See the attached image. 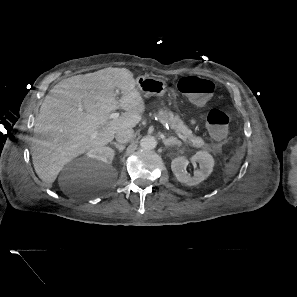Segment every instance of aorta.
<instances>
[{"mask_svg": "<svg viewBox=\"0 0 297 297\" xmlns=\"http://www.w3.org/2000/svg\"><path fill=\"white\" fill-rule=\"evenodd\" d=\"M157 146V140L153 136H145L140 140V147L144 150H152Z\"/></svg>", "mask_w": 297, "mask_h": 297, "instance_id": "obj_1", "label": "aorta"}]
</instances>
